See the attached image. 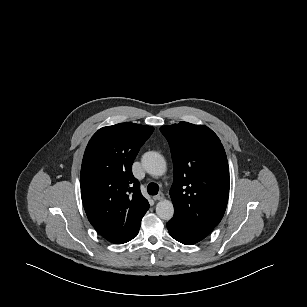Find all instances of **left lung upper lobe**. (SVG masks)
<instances>
[{
  "label": "left lung upper lobe",
  "instance_id": "5c2ea615",
  "mask_svg": "<svg viewBox=\"0 0 307 307\" xmlns=\"http://www.w3.org/2000/svg\"><path fill=\"white\" fill-rule=\"evenodd\" d=\"M160 131L174 163L170 189L174 218L206 237L221 221L228 202L230 177L223 145L203 125L180 122Z\"/></svg>",
  "mask_w": 307,
  "mask_h": 307
}]
</instances>
